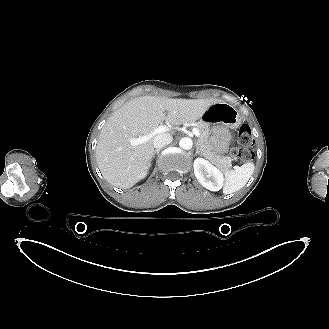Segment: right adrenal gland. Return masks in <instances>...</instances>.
I'll use <instances>...</instances> for the list:
<instances>
[{
  "mask_svg": "<svg viewBox=\"0 0 329 329\" xmlns=\"http://www.w3.org/2000/svg\"><path fill=\"white\" fill-rule=\"evenodd\" d=\"M159 152H160V149H156V150L153 152V157H154L155 153L159 154Z\"/></svg>",
  "mask_w": 329,
  "mask_h": 329,
  "instance_id": "2a0ac1e0",
  "label": "right adrenal gland"
}]
</instances>
